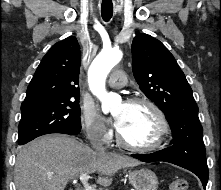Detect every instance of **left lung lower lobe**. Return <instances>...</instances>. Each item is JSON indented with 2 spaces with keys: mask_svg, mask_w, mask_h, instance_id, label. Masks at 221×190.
<instances>
[{
  "mask_svg": "<svg viewBox=\"0 0 221 190\" xmlns=\"http://www.w3.org/2000/svg\"><path fill=\"white\" fill-rule=\"evenodd\" d=\"M132 157L143 162L164 161L183 167L196 174L206 190L209 172L205 157L189 154H179L169 148L151 154H133Z\"/></svg>",
  "mask_w": 221,
  "mask_h": 190,
  "instance_id": "left-lung-lower-lobe-1",
  "label": "left lung lower lobe"
}]
</instances>
